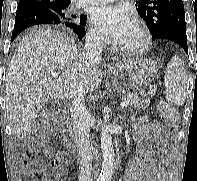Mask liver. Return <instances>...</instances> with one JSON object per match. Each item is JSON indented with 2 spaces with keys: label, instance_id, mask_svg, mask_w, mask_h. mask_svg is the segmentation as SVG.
I'll return each mask as SVG.
<instances>
[{
  "label": "liver",
  "instance_id": "6515ba94",
  "mask_svg": "<svg viewBox=\"0 0 197 181\" xmlns=\"http://www.w3.org/2000/svg\"><path fill=\"white\" fill-rule=\"evenodd\" d=\"M127 66L121 64L118 71ZM56 72L61 75L53 77ZM101 80L99 64L87 67L83 53L66 33L40 28L24 36L6 73V112L13 134L25 140L49 99H70L80 89L91 93Z\"/></svg>",
  "mask_w": 197,
  "mask_h": 181
}]
</instances>
